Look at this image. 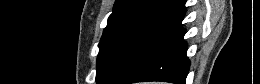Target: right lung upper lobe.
I'll list each match as a JSON object with an SVG mask.
<instances>
[{
	"mask_svg": "<svg viewBox=\"0 0 260 84\" xmlns=\"http://www.w3.org/2000/svg\"><path fill=\"white\" fill-rule=\"evenodd\" d=\"M185 0H117L102 38L131 26L181 28Z\"/></svg>",
	"mask_w": 260,
	"mask_h": 84,
	"instance_id": "obj_1",
	"label": "right lung upper lobe"
}]
</instances>
